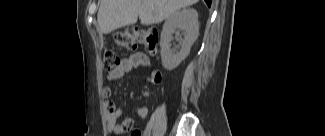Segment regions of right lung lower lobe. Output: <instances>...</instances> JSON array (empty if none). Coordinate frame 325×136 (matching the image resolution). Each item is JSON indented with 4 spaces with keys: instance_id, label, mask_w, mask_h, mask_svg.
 Returning a JSON list of instances; mask_svg holds the SVG:
<instances>
[{
    "instance_id": "right-lung-lower-lobe-1",
    "label": "right lung lower lobe",
    "mask_w": 325,
    "mask_h": 136,
    "mask_svg": "<svg viewBox=\"0 0 325 136\" xmlns=\"http://www.w3.org/2000/svg\"><path fill=\"white\" fill-rule=\"evenodd\" d=\"M205 2H206V3L208 4V6L210 7L212 0H205Z\"/></svg>"
}]
</instances>
